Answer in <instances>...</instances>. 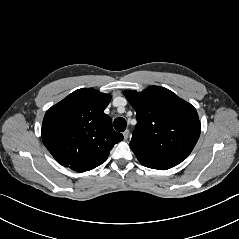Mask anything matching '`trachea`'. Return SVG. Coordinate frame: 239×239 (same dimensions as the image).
Masks as SVG:
<instances>
[{"instance_id": "1", "label": "trachea", "mask_w": 239, "mask_h": 239, "mask_svg": "<svg viewBox=\"0 0 239 239\" xmlns=\"http://www.w3.org/2000/svg\"><path fill=\"white\" fill-rule=\"evenodd\" d=\"M114 128L119 131V132H123L126 129L127 123L126 120L123 117H117L114 120Z\"/></svg>"}]
</instances>
